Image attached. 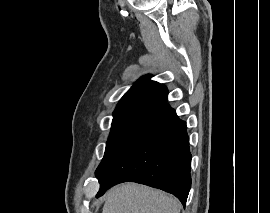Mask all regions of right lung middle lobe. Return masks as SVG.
Instances as JSON below:
<instances>
[{
  "label": "right lung middle lobe",
  "instance_id": "right-lung-middle-lobe-1",
  "mask_svg": "<svg viewBox=\"0 0 270 213\" xmlns=\"http://www.w3.org/2000/svg\"><path fill=\"white\" fill-rule=\"evenodd\" d=\"M149 105H135L116 109L113 113L111 132L107 141L102 162L96 170V176L107 166L123 144L129 139L138 125L153 111Z\"/></svg>",
  "mask_w": 270,
  "mask_h": 213
}]
</instances>
